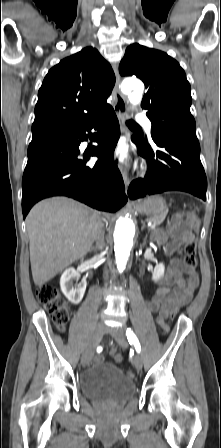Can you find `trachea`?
Returning <instances> with one entry per match:
<instances>
[{
	"label": "trachea",
	"mask_w": 221,
	"mask_h": 448,
	"mask_svg": "<svg viewBox=\"0 0 221 448\" xmlns=\"http://www.w3.org/2000/svg\"><path fill=\"white\" fill-rule=\"evenodd\" d=\"M126 124H127L128 126H138L133 120H128V121L126 122Z\"/></svg>",
	"instance_id": "obj_1"
}]
</instances>
